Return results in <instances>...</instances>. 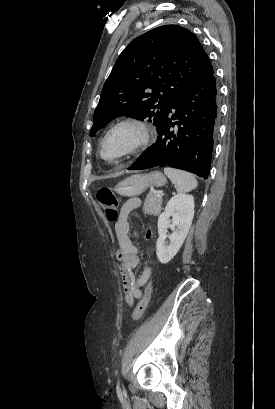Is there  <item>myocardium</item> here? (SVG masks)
<instances>
[{
  "mask_svg": "<svg viewBox=\"0 0 275 409\" xmlns=\"http://www.w3.org/2000/svg\"><path fill=\"white\" fill-rule=\"evenodd\" d=\"M122 130H130L134 134V138L121 153L113 157H127L139 150L148 142L149 128L146 123L138 119L121 120L114 124L103 137L99 147L101 157H108L104 154V147L106 143L114 134Z\"/></svg>",
  "mask_w": 275,
  "mask_h": 409,
  "instance_id": "myocardium-1",
  "label": "myocardium"
}]
</instances>
